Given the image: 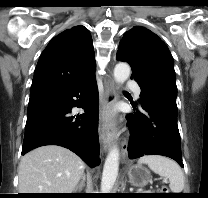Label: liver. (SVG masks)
<instances>
[{"label": "liver", "instance_id": "liver-1", "mask_svg": "<svg viewBox=\"0 0 208 198\" xmlns=\"http://www.w3.org/2000/svg\"><path fill=\"white\" fill-rule=\"evenodd\" d=\"M84 162L61 146L46 145L27 153L19 164L20 193H72L84 173Z\"/></svg>", "mask_w": 208, "mask_h": 198}]
</instances>
